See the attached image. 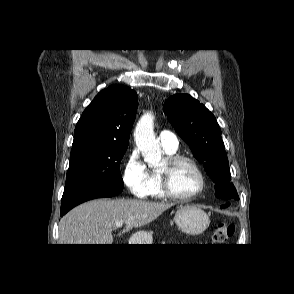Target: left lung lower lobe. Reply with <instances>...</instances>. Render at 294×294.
Instances as JSON below:
<instances>
[{"label": "left lung lower lobe", "instance_id": "left-lung-lower-lobe-1", "mask_svg": "<svg viewBox=\"0 0 294 294\" xmlns=\"http://www.w3.org/2000/svg\"><path fill=\"white\" fill-rule=\"evenodd\" d=\"M228 206H229V204H226V205L221 206V208H225V207H228Z\"/></svg>", "mask_w": 294, "mask_h": 294}]
</instances>
